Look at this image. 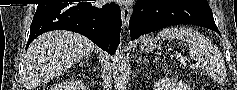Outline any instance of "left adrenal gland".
Instances as JSON below:
<instances>
[{
	"mask_svg": "<svg viewBox=\"0 0 237 90\" xmlns=\"http://www.w3.org/2000/svg\"><path fill=\"white\" fill-rule=\"evenodd\" d=\"M145 60H143V58H140V56H138V60H137V64L138 66H141V64H144Z\"/></svg>",
	"mask_w": 237,
	"mask_h": 90,
	"instance_id": "left-adrenal-gland-1",
	"label": "left adrenal gland"
}]
</instances>
